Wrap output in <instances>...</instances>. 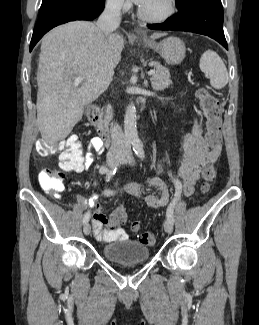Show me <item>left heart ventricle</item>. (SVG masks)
Masks as SVG:
<instances>
[{"label": "left heart ventricle", "instance_id": "obj_1", "mask_svg": "<svg viewBox=\"0 0 259 325\" xmlns=\"http://www.w3.org/2000/svg\"><path fill=\"white\" fill-rule=\"evenodd\" d=\"M144 9L150 14H159L165 9L164 0H150Z\"/></svg>", "mask_w": 259, "mask_h": 325}]
</instances>
